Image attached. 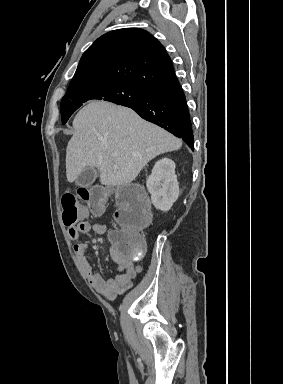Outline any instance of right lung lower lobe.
<instances>
[{
  "label": "right lung lower lobe",
  "instance_id": "obj_1",
  "mask_svg": "<svg viewBox=\"0 0 283 384\" xmlns=\"http://www.w3.org/2000/svg\"><path fill=\"white\" fill-rule=\"evenodd\" d=\"M185 141L194 150L190 115L184 92L176 76L160 82L138 101L121 104Z\"/></svg>",
  "mask_w": 283,
  "mask_h": 384
}]
</instances>
